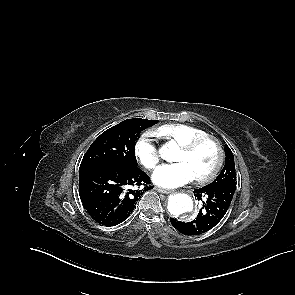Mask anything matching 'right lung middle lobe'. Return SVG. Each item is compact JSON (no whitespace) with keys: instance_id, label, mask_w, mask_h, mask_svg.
Listing matches in <instances>:
<instances>
[{"instance_id":"dd1d6c3e","label":"right lung middle lobe","mask_w":295,"mask_h":295,"mask_svg":"<svg viewBox=\"0 0 295 295\" xmlns=\"http://www.w3.org/2000/svg\"><path fill=\"white\" fill-rule=\"evenodd\" d=\"M156 122L140 118L127 119L104 131L85 153L79 170L115 165L137 167L135 140L141 131Z\"/></svg>"}]
</instances>
